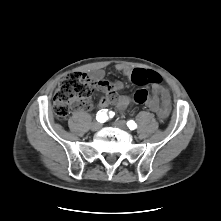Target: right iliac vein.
<instances>
[{
  "label": "right iliac vein",
  "instance_id": "63e3f726",
  "mask_svg": "<svg viewBox=\"0 0 221 221\" xmlns=\"http://www.w3.org/2000/svg\"><path fill=\"white\" fill-rule=\"evenodd\" d=\"M101 127H102V124L100 123V122H98V121H94L92 124H91V130L92 131H98V130H100L101 129Z\"/></svg>",
  "mask_w": 221,
  "mask_h": 221
}]
</instances>
